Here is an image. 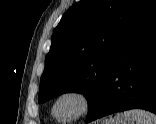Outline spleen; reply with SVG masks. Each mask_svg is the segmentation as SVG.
Instances as JSON below:
<instances>
[{
    "label": "spleen",
    "instance_id": "spleen-1",
    "mask_svg": "<svg viewBox=\"0 0 156 124\" xmlns=\"http://www.w3.org/2000/svg\"><path fill=\"white\" fill-rule=\"evenodd\" d=\"M126 118L135 120L136 124H156V115L140 109L125 111Z\"/></svg>",
    "mask_w": 156,
    "mask_h": 124
}]
</instances>
